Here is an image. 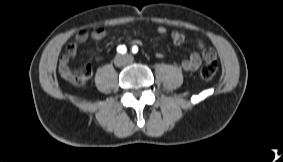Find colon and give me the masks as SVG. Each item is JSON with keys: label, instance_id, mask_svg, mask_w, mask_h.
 <instances>
[{"label": "colon", "instance_id": "1", "mask_svg": "<svg viewBox=\"0 0 283 162\" xmlns=\"http://www.w3.org/2000/svg\"><path fill=\"white\" fill-rule=\"evenodd\" d=\"M218 70V64L216 58L213 55H209L204 64L201 66L200 75L205 80L212 79ZM60 76L76 85L85 84L91 75V71L88 67L72 70L67 65H59Z\"/></svg>", "mask_w": 283, "mask_h": 162}]
</instances>
